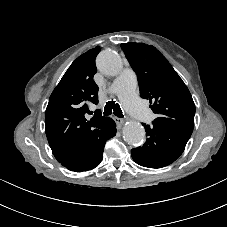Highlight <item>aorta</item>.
<instances>
[{
    "instance_id": "762f6f07",
    "label": "aorta",
    "mask_w": 227,
    "mask_h": 227,
    "mask_svg": "<svg viewBox=\"0 0 227 227\" xmlns=\"http://www.w3.org/2000/svg\"><path fill=\"white\" fill-rule=\"evenodd\" d=\"M98 70L104 75L117 76L123 69L121 57L112 50H104L99 53L96 60ZM145 129L138 123L130 121L123 128L124 140L133 146L142 144L145 138Z\"/></svg>"
}]
</instances>
